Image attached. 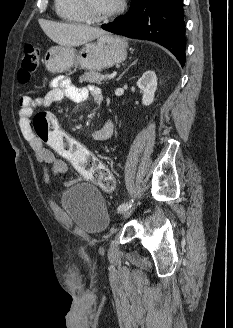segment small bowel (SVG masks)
I'll return each mask as SVG.
<instances>
[{
	"mask_svg": "<svg viewBox=\"0 0 233 328\" xmlns=\"http://www.w3.org/2000/svg\"><path fill=\"white\" fill-rule=\"evenodd\" d=\"M91 94L96 103L103 101V95L100 89L90 86L86 88H78L73 85L67 77L59 76L50 83V88L46 94L41 97L33 98L23 96L19 100V126L24 138L29 142L34 150L36 158L39 162L46 166L44 179L47 184L52 183V176L64 174L67 171V163L57 158L52 151L47 149L44 143L37 138L31 129V117L35 108H48L52 104L62 101L63 99H71L75 102L86 100ZM113 134V124L107 120L101 129L93 132L94 140L103 141L109 139ZM65 186L70 182H65Z\"/></svg>",
	"mask_w": 233,
	"mask_h": 328,
	"instance_id": "c3829d8e",
	"label": "small bowel"
}]
</instances>
